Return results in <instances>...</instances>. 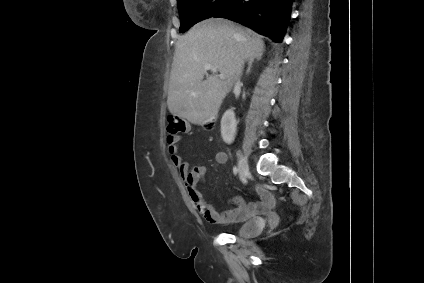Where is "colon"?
Instances as JSON below:
<instances>
[{
	"label": "colon",
	"instance_id": "colon-1",
	"mask_svg": "<svg viewBox=\"0 0 424 283\" xmlns=\"http://www.w3.org/2000/svg\"><path fill=\"white\" fill-rule=\"evenodd\" d=\"M187 129V125L184 119L177 115H169L167 117V131L174 135L180 132H184Z\"/></svg>",
	"mask_w": 424,
	"mask_h": 283
}]
</instances>
